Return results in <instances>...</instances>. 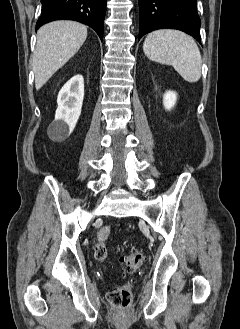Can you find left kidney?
Listing matches in <instances>:
<instances>
[{
	"label": "left kidney",
	"mask_w": 240,
	"mask_h": 329,
	"mask_svg": "<svg viewBox=\"0 0 240 329\" xmlns=\"http://www.w3.org/2000/svg\"><path fill=\"white\" fill-rule=\"evenodd\" d=\"M177 100V94L173 91H167L163 96V105L166 110H171Z\"/></svg>",
	"instance_id": "5707ae66"
}]
</instances>
